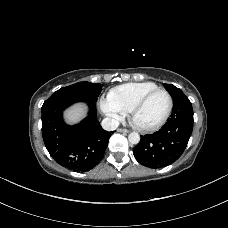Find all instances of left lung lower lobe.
I'll list each match as a JSON object with an SVG mask.
<instances>
[{"instance_id": "0a47b994", "label": "left lung lower lobe", "mask_w": 228, "mask_h": 228, "mask_svg": "<svg viewBox=\"0 0 228 228\" xmlns=\"http://www.w3.org/2000/svg\"><path fill=\"white\" fill-rule=\"evenodd\" d=\"M193 109L189 99L174 103L173 111L162 128L141 136L133 149L136 160L149 168H161L175 162L184 152L193 129Z\"/></svg>"}]
</instances>
